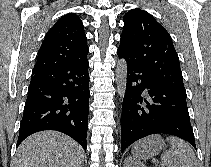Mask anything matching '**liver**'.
Returning <instances> with one entry per match:
<instances>
[{"instance_id":"6515ba94","label":"liver","mask_w":211,"mask_h":167,"mask_svg":"<svg viewBox=\"0 0 211 167\" xmlns=\"http://www.w3.org/2000/svg\"><path fill=\"white\" fill-rule=\"evenodd\" d=\"M84 150L73 139L56 131H42L18 147L13 167H81Z\"/></svg>"}]
</instances>
